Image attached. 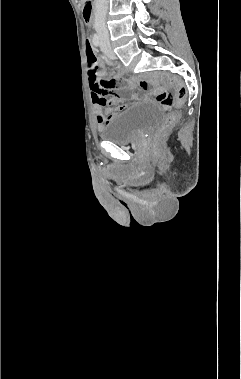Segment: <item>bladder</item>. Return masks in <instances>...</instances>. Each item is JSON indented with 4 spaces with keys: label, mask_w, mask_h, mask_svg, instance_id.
Returning a JSON list of instances; mask_svg holds the SVG:
<instances>
[{
    "label": "bladder",
    "mask_w": 241,
    "mask_h": 379,
    "mask_svg": "<svg viewBox=\"0 0 241 379\" xmlns=\"http://www.w3.org/2000/svg\"><path fill=\"white\" fill-rule=\"evenodd\" d=\"M163 119V112L154 104L138 103L115 114L99 130L103 140L125 145L156 127Z\"/></svg>",
    "instance_id": "1"
}]
</instances>
